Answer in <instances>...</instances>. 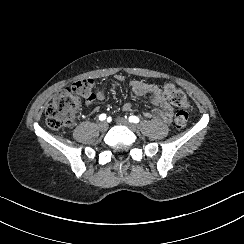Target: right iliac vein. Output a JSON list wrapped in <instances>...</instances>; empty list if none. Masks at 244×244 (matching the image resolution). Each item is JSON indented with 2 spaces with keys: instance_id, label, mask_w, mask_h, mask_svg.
<instances>
[{
  "instance_id": "right-iliac-vein-1",
  "label": "right iliac vein",
  "mask_w": 244,
  "mask_h": 244,
  "mask_svg": "<svg viewBox=\"0 0 244 244\" xmlns=\"http://www.w3.org/2000/svg\"><path fill=\"white\" fill-rule=\"evenodd\" d=\"M98 128L100 131H106L108 129V122L107 121H102L98 124Z\"/></svg>"
}]
</instances>
